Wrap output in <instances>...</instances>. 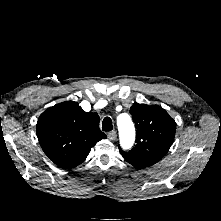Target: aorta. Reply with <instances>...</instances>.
<instances>
[{
  "label": "aorta",
  "mask_w": 221,
  "mask_h": 221,
  "mask_svg": "<svg viewBox=\"0 0 221 221\" xmlns=\"http://www.w3.org/2000/svg\"><path fill=\"white\" fill-rule=\"evenodd\" d=\"M120 144L123 149L132 147L135 140L134 124L128 114H121L117 117Z\"/></svg>",
  "instance_id": "1"
}]
</instances>
